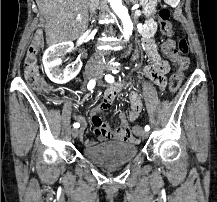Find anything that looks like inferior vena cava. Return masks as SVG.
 I'll return each instance as SVG.
<instances>
[{
    "label": "inferior vena cava",
    "mask_w": 217,
    "mask_h": 202,
    "mask_svg": "<svg viewBox=\"0 0 217 202\" xmlns=\"http://www.w3.org/2000/svg\"><path fill=\"white\" fill-rule=\"evenodd\" d=\"M98 2H99V0H89V6H90L92 12H94L95 8H97ZM95 56H98V58H100L99 54H95Z\"/></svg>",
    "instance_id": "602c4592"
}]
</instances>
